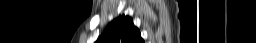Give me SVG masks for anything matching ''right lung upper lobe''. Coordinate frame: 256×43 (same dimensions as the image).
Instances as JSON below:
<instances>
[{
	"label": "right lung upper lobe",
	"instance_id": "1",
	"mask_svg": "<svg viewBox=\"0 0 256 43\" xmlns=\"http://www.w3.org/2000/svg\"><path fill=\"white\" fill-rule=\"evenodd\" d=\"M98 43H144L140 32L129 16H119L105 29Z\"/></svg>",
	"mask_w": 256,
	"mask_h": 43
}]
</instances>
